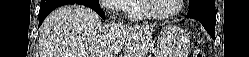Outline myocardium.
Listing matches in <instances>:
<instances>
[{
  "mask_svg": "<svg viewBox=\"0 0 249 57\" xmlns=\"http://www.w3.org/2000/svg\"><path fill=\"white\" fill-rule=\"evenodd\" d=\"M149 2L150 0H141V10L146 15L147 18L152 20H166L175 17L176 15L181 13L184 6L183 0H177L178 6L173 12L167 14H156L153 11H151Z\"/></svg>",
  "mask_w": 249,
  "mask_h": 57,
  "instance_id": "obj_1",
  "label": "myocardium"
}]
</instances>
